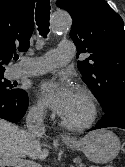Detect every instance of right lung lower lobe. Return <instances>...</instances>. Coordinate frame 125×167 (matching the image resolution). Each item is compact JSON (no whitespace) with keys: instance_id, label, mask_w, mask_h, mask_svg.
Masks as SVG:
<instances>
[{"instance_id":"98d812e1","label":"right lung lower lobe","mask_w":125,"mask_h":167,"mask_svg":"<svg viewBox=\"0 0 125 167\" xmlns=\"http://www.w3.org/2000/svg\"><path fill=\"white\" fill-rule=\"evenodd\" d=\"M28 108V95L22 92L15 97L0 91V118L10 122H18L25 115Z\"/></svg>"}]
</instances>
